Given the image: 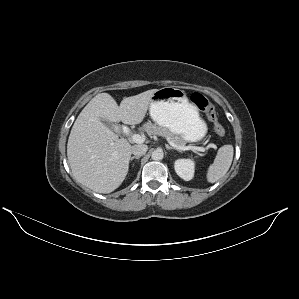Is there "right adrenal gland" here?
Returning a JSON list of instances; mask_svg holds the SVG:
<instances>
[{"label": "right adrenal gland", "instance_id": "2a0ac1e0", "mask_svg": "<svg viewBox=\"0 0 299 299\" xmlns=\"http://www.w3.org/2000/svg\"><path fill=\"white\" fill-rule=\"evenodd\" d=\"M134 159L139 160V159H140V156H133V157L130 158L131 161H133Z\"/></svg>", "mask_w": 299, "mask_h": 299}]
</instances>
